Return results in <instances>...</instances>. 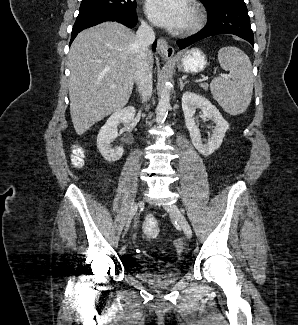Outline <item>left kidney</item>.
<instances>
[{"label": "left kidney", "mask_w": 298, "mask_h": 325, "mask_svg": "<svg viewBox=\"0 0 298 325\" xmlns=\"http://www.w3.org/2000/svg\"><path fill=\"white\" fill-rule=\"evenodd\" d=\"M182 110L185 118V124L190 132L191 140L201 154H212L216 148H219L222 144V140L225 136L226 130L229 128V122L223 118L220 110H218L215 104H212L208 98L198 94V92H183L182 98ZM197 108H201L205 120H213L215 126L208 138L206 144H203L201 138V132L194 120V114Z\"/></svg>", "instance_id": "left-kidney-1"}]
</instances>
